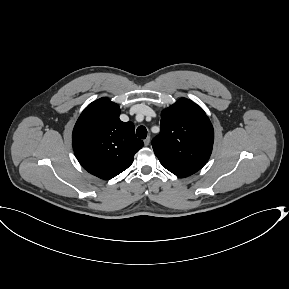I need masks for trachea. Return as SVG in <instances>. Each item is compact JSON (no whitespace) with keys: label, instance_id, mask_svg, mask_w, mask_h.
<instances>
[{"label":"trachea","instance_id":"1","mask_svg":"<svg viewBox=\"0 0 289 289\" xmlns=\"http://www.w3.org/2000/svg\"><path fill=\"white\" fill-rule=\"evenodd\" d=\"M136 134L140 139H145L147 137V129L144 126H139L136 130Z\"/></svg>","mask_w":289,"mask_h":289}]
</instances>
